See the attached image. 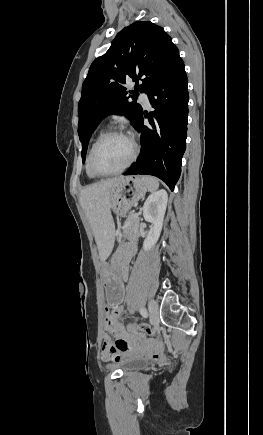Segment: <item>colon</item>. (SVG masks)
I'll return each instance as SVG.
<instances>
[{
  "label": "colon",
  "mask_w": 263,
  "mask_h": 435,
  "mask_svg": "<svg viewBox=\"0 0 263 435\" xmlns=\"http://www.w3.org/2000/svg\"><path fill=\"white\" fill-rule=\"evenodd\" d=\"M148 327L149 326L147 324H139V328L137 329L138 330L137 333L139 335H143L144 332H148L151 335H155L156 331L153 329H149ZM129 341H132V340H129ZM100 343H101V345H103V347L106 350H109L112 347V344L110 343L109 339L106 337L101 338Z\"/></svg>",
  "instance_id": "obj_1"
}]
</instances>
